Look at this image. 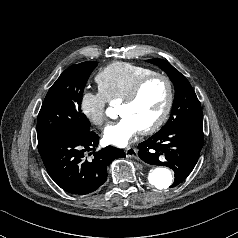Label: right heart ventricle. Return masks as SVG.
Listing matches in <instances>:
<instances>
[{
    "label": "right heart ventricle",
    "mask_w": 238,
    "mask_h": 238,
    "mask_svg": "<svg viewBox=\"0 0 238 238\" xmlns=\"http://www.w3.org/2000/svg\"><path fill=\"white\" fill-rule=\"evenodd\" d=\"M150 68L126 62H114L95 77L99 90L108 100L123 101L142 78L154 74Z\"/></svg>",
    "instance_id": "right-heart-ventricle-1"
}]
</instances>
